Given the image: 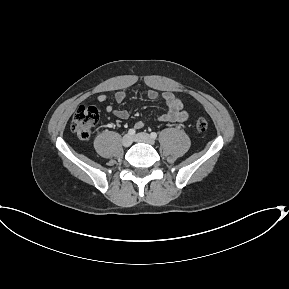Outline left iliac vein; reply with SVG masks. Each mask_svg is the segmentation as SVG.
I'll use <instances>...</instances> for the list:
<instances>
[{
  "label": "left iliac vein",
  "mask_w": 289,
  "mask_h": 289,
  "mask_svg": "<svg viewBox=\"0 0 289 289\" xmlns=\"http://www.w3.org/2000/svg\"><path fill=\"white\" fill-rule=\"evenodd\" d=\"M134 140L136 142L147 143V144H150V145H154L155 144L154 139L149 134L144 133V132L136 134L134 136Z\"/></svg>",
  "instance_id": "obj_1"
}]
</instances>
